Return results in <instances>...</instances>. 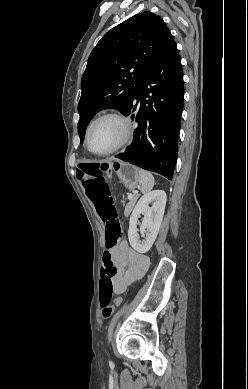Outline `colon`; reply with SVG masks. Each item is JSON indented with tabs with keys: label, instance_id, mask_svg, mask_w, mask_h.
<instances>
[{
	"label": "colon",
	"instance_id": "1",
	"mask_svg": "<svg viewBox=\"0 0 248 389\" xmlns=\"http://www.w3.org/2000/svg\"><path fill=\"white\" fill-rule=\"evenodd\" d=\"M79 166L80 180L85 188L86 195L93 202L98 215L105 223V245L108 249L113 248L122 237V224L118 218L107 179V174L112 170L111 162L80 161ZM115 275L116 267L110 252L107 251L103 255L99 289V303L104 319H109L114 313V306L119 309L122 303L121 296L117 295L114 298V305L112 304Z\"/></svg>",
	"mask_w": 248,
	"mask_h": 389
}]
</instances>
